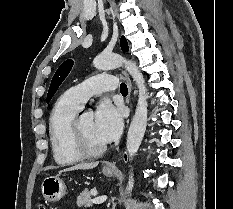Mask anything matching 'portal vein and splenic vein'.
Returning a JSON list of instances; mask_svg holds the SVG:
<instances>
[{
    "instance_id": "1",
    "label": "portal vein and splenic vein",
    "mask_w": 233,
    "mask_h": 209,
    "mask_svg": "<svg viewBox=\"0 0 233 209\" xmlns=\"http://www.w3.org/2000/svg\"><path fill=\"white\" fill-rule=\"evenodd\" d=\"M107 197L106 196H100V197H96L94 199L91 200V202L93 204H102L106 201Z\"/></svg>"
}]
</instances>
